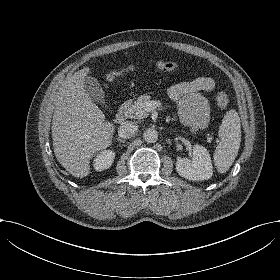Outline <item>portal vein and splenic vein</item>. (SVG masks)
<instances>
[{
  "instance_id": "portal-vein-and-splenic-vein-1",
  "label": "portal vein and splenic vein",
  "mask_w": 280,
  "mask_h": 280,
  "mask_svg": "<svg viewBox=\"0 0 280 280\" xmlns=\"http://www.w3.org/2000/svg\"><path fill=\"white\" fill-rule=\"evenodd\" d=\"M154 108H155V102H153V101H150L149 103H147L145 105V109L148 110V111H150V110H152Z\"/></svg>"
}]
</instances>
